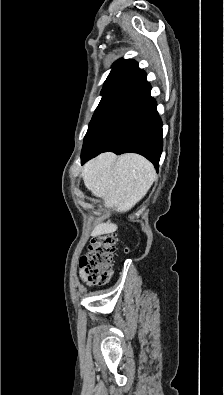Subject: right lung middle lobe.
I'll return each instance as SVG.
<instances>
[{"label":"right lung middle lobe","mask_w":224,"mask_h":395,"mask_svg":"<svg viewBox=\"0 0 224 395\" xmlns=\"http://www.w3.org/2000/svg\"><path fill=\"white\" fill-rule=\"evenodd\" d=\"M117 75L118 74L109 75L108 78L106 79V81L104 83V86H103V89L101 91L102 99L107 94V92L111 89V87L114 84V81H115Z\"/></svg>","instance_id":"dd1d6c3e"}]
</instances>
